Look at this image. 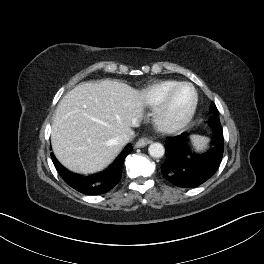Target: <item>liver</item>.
<instances>
[{"instance_id": "1", "label": "liver", "mask_w": 264, "mask_h": 264, "mask_svg": "<svg viewBox=\"0 0 264 264\" xmlns=\"http://www.w3.org/2000/svg\"><path fill=\"white\" fill-rule=\"evenodd\" d=\"M144 95L125 83H82L59 102L51 143L58 161L71 171L92 173L122 150L115 139L134 134L143 117Z\"/></svg>"}]
</instances>
